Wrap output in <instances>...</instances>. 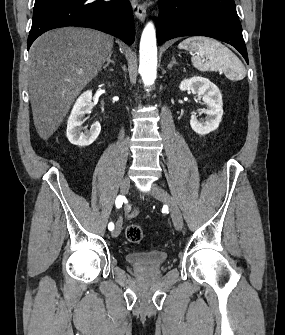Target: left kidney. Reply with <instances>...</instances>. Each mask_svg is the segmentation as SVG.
<instances>
[{
  "mask_svg": "<svg viewBox=\"0 0 285 335\" xmlns=\"http://www.w3.org/2000/svg\"><path fill=\"white\" fill-rule=\"evenodd\" d=\"M180 90H191L192 94H199L202 98V102L206 104L207 110H203L206 114L205 122L198 120L195 114H192L190 120V126L196 134H209L213 130H217L223 116V102L222 94L219 92L217 86L207 80V78H201V76H194L190 80H182Z\"/></svg>",
  "mask_w": 285,
  "mask_h": 335,
  "instance_id": "5707ae66",
  "label": "left kidney"
}]
</instances>
